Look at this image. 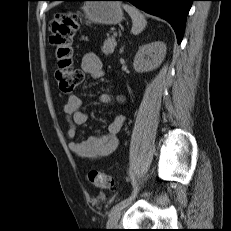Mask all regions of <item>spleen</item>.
<instances>
[{"instance_id":"1","label":"spleen","mask_w":231,"mask_h":231,"mask_svg":"<svg viewBox=\"0 0 231 231\" xmlns=\"http://www.w3.org/2000/svg\"><path fill=\"white\" fill-rule=\"evenodd\" d=\"M123 8L130 15L132 19L133 24H132L131 32L134 35H138L139 33L143 31V29L147 25V21L144 15L139 10H137L135 7H132L130 5L124 4Z\"/></svg>"}]
</instances>
